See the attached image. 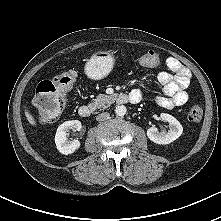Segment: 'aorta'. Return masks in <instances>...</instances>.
Instances as JSON below:
<instances>
[{"label":"aorta","mask_w":221,"mask_h":221,"mask_svg":"<svg viewBox=\"0 0 221 221\" xmlns=\"http://www.w3.org/2000/svg\"><path fill=\"white\" fill-rule=\"evenodd\" d=\"M126 112H127V109L124 105H117L115 107V113L118 116H124L126 114Z\"/></svg>","instance_id":"obj_1"}]
</instances>
